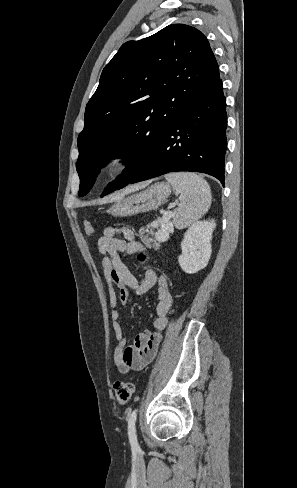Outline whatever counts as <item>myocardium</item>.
<instances>
[{
    "label": "myocardium",
    "instance_id": "f54148a6",
    "mask_svg": "<svg viewBox=\"0 0 297 488\" xmlns=\"http://www.w3.org/2000/svg\"><path fill=\"white\" fill-rule=\"evenodd\" d=\"M136 153L133 148L118 145L106 152L102 160L105 174L114 177L125 172L135 161Z\"/></svg>",
    "mask_w": 297,
    "mask_h": 488
}]
</instances>
